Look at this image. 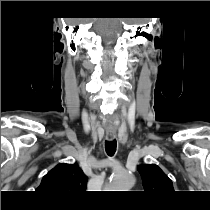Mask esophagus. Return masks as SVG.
Listing matches in <instances>:
<instances>
[{"instance_id":"34e87169","label":"esophagus","mask_w":210,"mask_h":210,"mask_svg":"<svg viewBox=\"0 0 210 210\" xmlns=\"http://www.w3.org/2000/svg\"><path fill=\"white\" fill-rule=\"evenodd\" d=\"M115 136H116L115 132H109V131L106 132V138L108 140H112Z\"/></svg>"}]
</instances>
